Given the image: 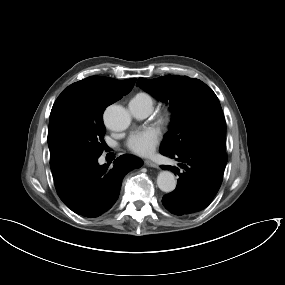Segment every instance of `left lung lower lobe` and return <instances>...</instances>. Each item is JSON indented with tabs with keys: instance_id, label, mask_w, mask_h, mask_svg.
<instances>
[{
	"instance_id": "1",
	"label": "left lung lower lobe",
	"mask_w": 285,
	"mask_h": 285,
	"mask_svg": "<svg viewBox=\"0 0 285 285\" xmlns=\"http://www.w3.org/2000/svg\"><path fill=\"white\" fill-rule=\"evenodd\" d=\"M176 158L183 171L169 165L162 169L175 171L179 175L176 189L163 196L164 207L172 214L189 215L206 208L218 192L227 155L223 151L198 148L175 154L161 153Z\"/></svg>"
}]
</instances>
